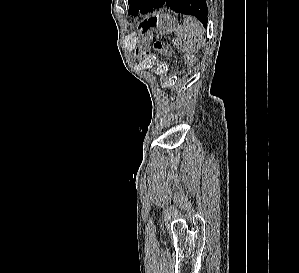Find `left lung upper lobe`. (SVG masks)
Returning a JSON list of instances; mask_svg holds the SVG:
<instances>
[{
	"mask_svg": "<svg viewBox=\"0 0 299 273\" xmlns=\"http://www.w3.org/2000/svg\"><path fill=\"white\" fill-rule=\"evenodd\" d=\"M146 0H129V15H138L144 7Z\"/></svg>",
	"mask_w": 299,
	"mask_h": 273,
	"instance_id": "left-lung-upper-lobe-1",
	"label": "left lung upper lobe"
}]
</instances>
